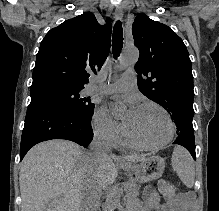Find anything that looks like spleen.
<instances>
[{
    "instance_id": "spleen-1",
    "label": "spleen",
    "mask_w": 219,
    "mask_h": 211,
    "mask_svg": "<svg viewBox=\"0 0 219 211\" xmlns=\"http://www.w3.org/2000/svg\"><path fill=\"white\" fill-rule=\"evenodd\" d=\"M172 167L179 175L181 181L187 185V187H193L195 169L193 159L182 145H175L171 159Z\"/></svg>"
}]
</instances>
